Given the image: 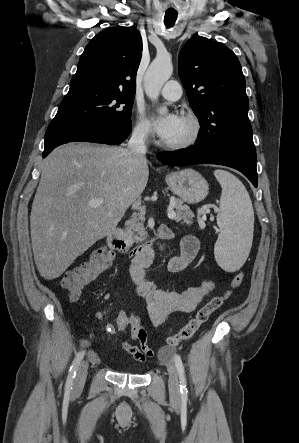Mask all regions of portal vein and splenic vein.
<instances>
[{"instance_id": "1", "label": "portal vein and splenic vein", "mask_w": 299, "mask_h": 443, "mask_svg": "<svg viewBox=\"0 0 299 443\" xmlns=\"http://www.w3.org/2000/svg\"><path fill=\"white\" fill-rule=\"evenodd\" d=\"M103 203V199H96V200H92L89 205L91 207H98L99 205H101ZM167 215L170 219H174L176 216V213L173 211L172 207L168 208L167 211Z\"/></svg>"}]
</instances>
